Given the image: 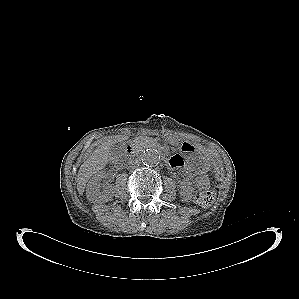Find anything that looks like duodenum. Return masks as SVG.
Wrapping results in <instances>:
<instances>
[{
  "label": "duodenum",
  "mask_w": 299,
  "mask_h": 299,
  "mask_svg": "<svg viewBox=\"0 0 299 299\" xmlns=\"http://www.w3.org/2000/svg\"><path fill=\"white\" fill-rule=\"evenodd\" d=\"M136 152V146L132 143L128 144L126 147V155L132 156Z\"/></svg>",
  "instance_id": "1"
}]
</instances>
